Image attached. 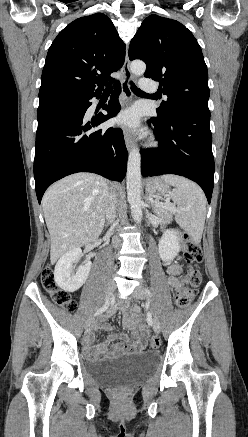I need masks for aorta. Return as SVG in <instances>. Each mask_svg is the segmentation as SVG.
I'll use <instances>...</instances> for the list:
<instances>
[{
    "instance_id": "aorta-1",
    "label": "aorta",
    "mask_w": 248,
    "mask_h": 437,
    "mask_svg": "<svg viewBox=\"0 0 248 437\" xmlns=\"http://www.w3.org/2000/svg\"><path fill=\"white\" fill-rule=\"evenodd\" d=\"M131 72L140 76L146 70L143 61L135 60L130 65ZM127 197L130 204L131 215L135 222L142 221V200H141V155L137 147H133L128 156L127 164Z\"/></svg>"
}]
</instances>
